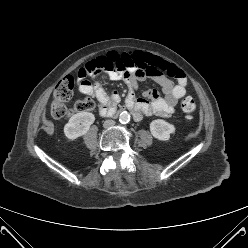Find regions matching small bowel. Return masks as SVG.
Returning a JSON list of instances; mask_svg holds the SVG:
<instances>
[{
    "instance_id": "c3829d8e",
    "label": "small bowel",
    "mask_w": 248,
    "mask_h": 248,
    "mask_svg": "<svg viewBox=\"0 0 248 248\" xmlns=\"http://www.w3.org/2000/svg\"><path fill=\"white\" fill-rule=\"evenodd\" d=\"M118 54L123 55L131 63L130 72L110 71L108 78L113 81L124 80L127 83L129 93L126 103L129 104L134 118L140 120L143 115L171 116L175 112L178 100L186 94L187 80L183 71L147 52L135 51ZM86 75L85 67L80 70L78 91L97 100L98 112L101 116H110L120 101L118 92L108 94L100 82L91 83L86 79ZM170 77L175 78L176 83ZM146 78L154 80L162 87L164 97H159L156 90H148L142 97L136 96L138 82Z\"/></svg>"
}]
</instances>
